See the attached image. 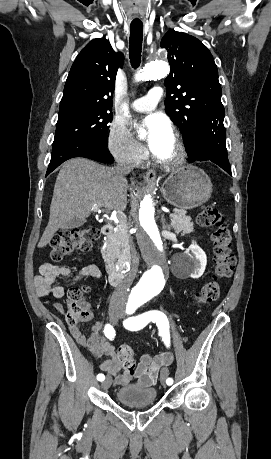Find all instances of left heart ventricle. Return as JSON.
Instances as JSON below:
<instances>
[{
  "mask_svg": "<svg viewBox=\"0 0 271 459\" xmlns=\"http://www.w3.org/2000/svg\"><path fill=\"white\" fill-rule=\"evenodd\" d=\"M173 150H174V143L172 140V136L170 134L167 138L163 139L159 143L157 149L153 152L159 156H168L173 152Z\"/></svg>",
  "mask_w": 271,
  "mask_h": 459,
  "instance_id": "left-heart-ventricle-1",
  "label": "left heart ventricle"
}]
</instances>
